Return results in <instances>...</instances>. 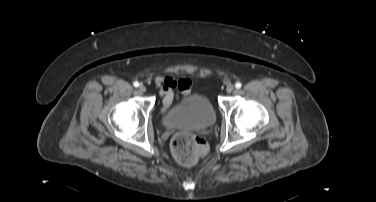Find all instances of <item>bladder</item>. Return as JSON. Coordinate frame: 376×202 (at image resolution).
<instances>
[{
	"mask_svg": "<svg viewBox=\"0 0 376 202\" xmlns=\"http://www.w3.org/2000/svg\"><path fill=\"white\" fill-rule=\"evenodd\" d=\"M215 121L213 105L199 93L187 96L178 106L161 115L163 126L171 129L200 130L212 126Z\"/></svg>",
	"mask_w": 376,
	"mask_h": 202,
	"instance_id": "1",
	"label": "bladder"
}]
</instances>
